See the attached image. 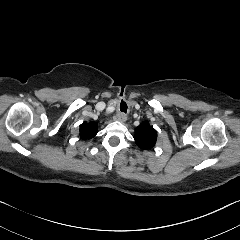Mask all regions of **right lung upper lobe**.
I'll use <instances>...</instances> for the list:
<instances>
[{
  "label": "right lung upper lobe",
  "mask_w": 240,
  "mask_h": 240,
  "mask_svg": "<svg viewBox=\"0 0 240 240\" xmlns=\"http://www.w3.org/2000/svg\"><path fill=\"white\" fill-rule=\"evenodd\" d=\"M97 134V123L84 122L80 126V137L83 140L91 139Z\"/></svg>",
  "instance_id": "right-lung-upper-lobe-1"
}]
</instances>
